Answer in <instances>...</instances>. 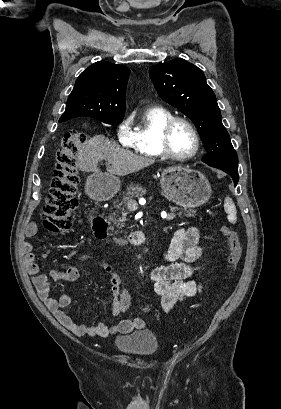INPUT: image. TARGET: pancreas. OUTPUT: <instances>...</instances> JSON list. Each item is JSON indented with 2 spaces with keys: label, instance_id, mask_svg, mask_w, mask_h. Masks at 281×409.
Returning <instances> with one entry per match:
<instances>
[{
  "label": "pancreas",
  "instance_id": "cf45deb5",
  "mask_svg": "<svg viewBox=\"0 0 281 409\" xmlns=\"http://www.w3.org/2000/svg\"><path fill=\"white\" fill-rule=\"evenodd\" d=\"M143 194H146V188H143V186H140V184H131V186H129L128 192H126L125 196H123L121 202H119L118 205V207H121L123 215H126V213H124V207L128 205L129 200H132L133 196H143ZM170 211L175 212L178 211V209L177 207H170ZM184 213H187L186 217H194L193 213H196V211H191V209L190 211H186V209H184ZM178 215L180 217L182 213H178ZM125 221H128L126 217H120V219H118V225H120V223L121 225H123ZM168 221H171V219Z\"/></svg>",
  "mask_w": 281,
  "mask_h": 409
}]
</instances>
